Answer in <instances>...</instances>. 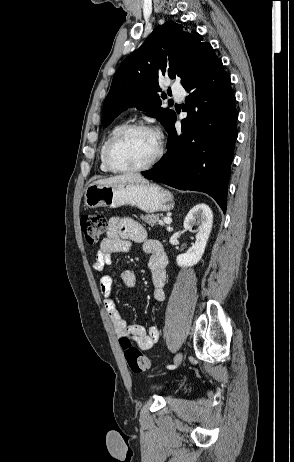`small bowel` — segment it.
<instances>
[{"label": "small bowel", "instance_id": "1", "mask_svg": "<svg viewBox=\"0 0 294 462\" xmlns=\"http://www.w3.org/2000/svg\"><path fill=\"white\" fill-rule=\"evenodd\" d=\"M133 243H141L144 252L150 254L149 269L153 284L152 297L157 302L164 301L167 256L161 243L157 240L147 239L144 228L132 218L113 217L109 220L106 237L99 245L93 268L98 272H103L112 263L114 254L129 251ZM120 279L127 287H133L136 283L135 273L131 269L122 270ZM99 285L104 297L106 312L120 338H129L139 349L149 350L159 339L158 328L154 325L147 329L138 324L127 325L111 299L112 277L103 274L100 277Z\"/></svg>", "mask_w": 294, "mask_h": 462}]
</instances>
